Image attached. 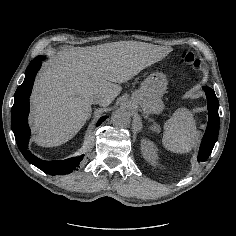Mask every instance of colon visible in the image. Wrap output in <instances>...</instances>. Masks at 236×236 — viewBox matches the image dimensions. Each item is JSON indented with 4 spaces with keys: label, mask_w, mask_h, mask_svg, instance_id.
<instances>
[{
    "label": "colon",
    "mask_w": 236,
    "mask_h": 236,
    "mask_svg": "<svg viewBox=\"0 0 236 236\" xmlns=\"http://www.w3.org/2000/svg\"><path fill=\"white\" fill-rule=\"evenodd\" d=\"M181 61L197 71H202L201 59L191 50H186L181 53Z\"/></svg>",
    "instance_id": "colon-1"
}]
</instances>
